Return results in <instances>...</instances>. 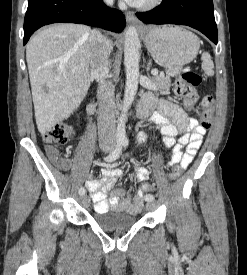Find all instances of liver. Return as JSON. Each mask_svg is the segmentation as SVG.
<instances>
[{
	"mask_svg": "<svg viewBox=\"0 0 247 275\" xmlns=\"http://www.w3.org/2000/svg\"><path fill=\"white\" fill-rule=\"evenodd\" d=\"M91 33L85 25L55 24L27 44L35 119L42 135L67 119L89 89Z\"/></svg>",
	"mask_w": 247,
	"mask_h": 275,
	"instance_id": "liver-1",
	"label": "liver"
}]
</instances>
